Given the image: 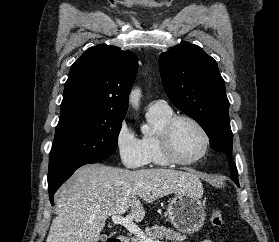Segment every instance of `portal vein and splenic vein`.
Here are the masks:
<instances>
[{
    "mask_svg": "<svg viewBox=\"0 0 279 242\" xmlns=\"http://www.w3.org/2000/svg\"><path fill=\"white\" fill-rule=\"evenodd\" d=\"M111 219L114 224L124 226L129 232L141 238L142 242H159L147 237L145 233L133 222V217L131 215H127L126 217L121 215H111Z\"/></svg>",
    "mask_w": 279,
    "mask_h": 242,
    "instance_id": "1",
    "label": "portal vein and splenic vein"
}]
</instances>
